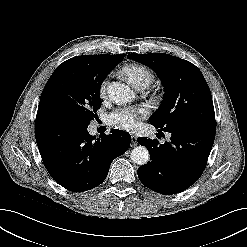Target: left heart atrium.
I'll return each instance as SVG.
<instances>
[{
    "label": "left heart atrium",
    "instance_id": "1",
    "mask_svg": "<svg viewBox=\"0 0 247 247\" xmlns=\"http://www.w3.org/2000/svg\"><path fill=\"white\" fill-rule=\"evenodd\" d=\"M146 115L144 108L124 107L111 112L107 118L108 123L116 127L131 130L138 121Z\"/></svg>",
    "mask_w": 247,
    "mask_h": 247
}]
</instances>
